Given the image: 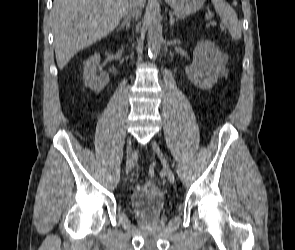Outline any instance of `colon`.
<instances>
[{"label":"colon","mask_w":295,"mask_h":250,"mask_svg":"<svg viewBox=\"0 0 295 250\" xmlns=\"http://www.w3.org/2000/svg\"><path fill=\"white\" fill-rule=\"evenodd\" d=\"M148 173L150 176H153L155 174V165H151L148 169Z\"/></svg>","instance_id":"5ec220e1"}]
</instances>
